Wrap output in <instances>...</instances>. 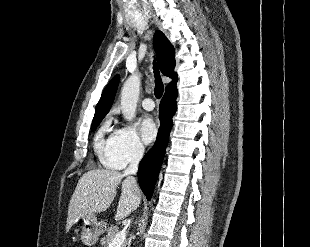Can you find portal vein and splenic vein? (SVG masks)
Instances as JSON below:
<instances>
[{
  "label": "portal vein and splenic vein",
  "mask_w": 310,
  "mask_h": 247,
  "mask_svg": "<svg viewBox=\"0 0 310 247\" xmlns=\"http://www.w3.org/2000/svg\"><path fill=\"white\" fill-rule=\"evenodd\" d=\"M126 239V233L124 230L118 232L116 236L111 240L108 247H121Z\"/></svg>",
  "instance_id": "18ae733b"
}]
</instances>
